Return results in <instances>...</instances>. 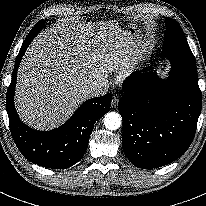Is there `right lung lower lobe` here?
Listing matches in <instances>:
<instances>
[{
	"instance_id": "right-lung-lower-lobe-1",
	"label": "right lung lower lobe",
	"mask_w": 206,
	"mask_h": 206,
	"mask_svg": "<svg viewBox=\"0 0 206 206\" xmlns=\"http://www.w3.org/2000/svg\"><path fill=\"white\" fill-rule=\"evenodd\" d=\"M41 29L34 27L30 31L16 57L6 110L12 137L23 156L46 168L65 169L83 157L95 122L110 111L111 94L85 101L67 122L54 130L40 132L25 125L14 105L17 70L27 47Z\"/></svg>"
}]
</instances>
